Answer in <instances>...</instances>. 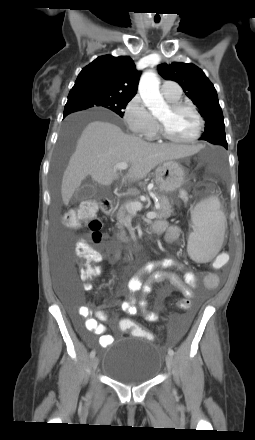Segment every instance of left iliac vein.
Instances as JSON below:
<instances>
[{"label":"left iliac vein","instance_id":"1","mask_svg":"<svg viewBox=\"0 0 255 440\" xmlns=\"http://www.w3.org/2000/svg\"><path fill=\"white\" fill-rule=\"evenodd\" d=\"M165 361H166L167 368L169 370H171L173 368V366H174L173 356L167 355L166 358H165Z\"/></svg>","mask_w":255,"mask_h":440}]
</instances>
